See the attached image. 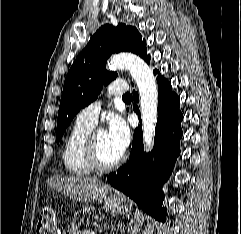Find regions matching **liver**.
<instances>
[{"label":"liver","mask_w":241,"mask_h":234,"mask_svg":"<svg viewBox=\"0 0 241 234\" xmlns=\"http://www.w3.org/2000/svg\"><path fill=\"white\" fill-rule=\"evenodd\" d=\"M47 184L67 197L81 202L101 199L112 190L110 185L92 177L54 175L47 180Z\"/></svg>","instance_id":"1"}]
</instances>
